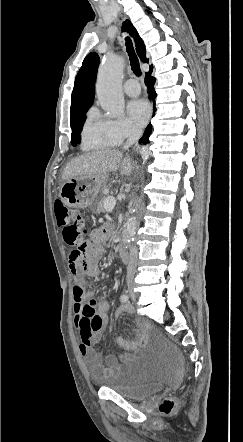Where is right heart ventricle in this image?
<instances>
[{
    "instance_id": "obj_1",
    "label": "right heart ventricle",
    "mask_w": 243,
    "mask_h": 442,
    "mask_svg": "<svg viewBox=\"0 0 243 442\" xmlns=\"http://www.w3.org/2000/svg\"><path fill=\"white\" fill-rule=\"evenodd\" d=\"M81 142L83 150L102 149L118 144L107 130L106 120L95 109H91L87 114L81 132Z\"/></svg>"
}]
</instances>
